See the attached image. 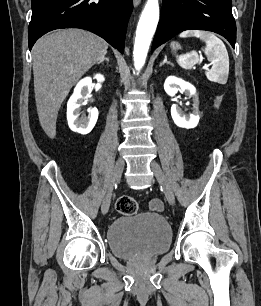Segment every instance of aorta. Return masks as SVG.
<instances>
[{"label": "aorta", "mask_w": 261, "mask_h": 306, "mask_svg": "<svg viewBox=\"0 0 261 306\" xmlns=\"http://www.w3.org/2000/svg\"><path fill=\"white\" fill-rule=\"evenodd\" d=\"M159 21L158 0H147L136 30L134 66L140 70L145 64L149 46Z\"/></svg>", "instance_id": "1"}]
</instances>
